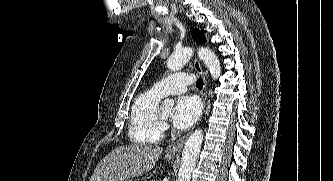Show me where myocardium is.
Here are the masks:
<instances>
[{
	"instance_id": "obj_1",
	"label": "myocardium",
	"mask_w": 333,
	"mask_h": 181,
	"mask_svg": "<svg viewBox=\"0 0 333 181\" xmlns=\"http://www.w3.org/2000/svg\"><path fill=\"white\" fill-rule=\"evenodd\" d=\"M157 117L161 123L165 121V119L161 117L160 111H157Z\"/></svg>"
}]
</instances>
